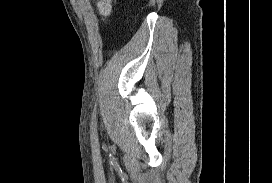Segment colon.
Segmentation results:
<instances>
[{"label":"colon","instance_id":"colon-1","mask_svg":"<svg viewBox=\"0 0 272 183\" xmlns=\"http://www.w3.org/2000/svg\"><path fill=\"white\" fill-rule=\"evenodd\" d=\"M113 0H99L98 8L102 15L106 16L111 11V5Z\"/></svg>","mask_w":272,"mask_h":183}]
</instances>
